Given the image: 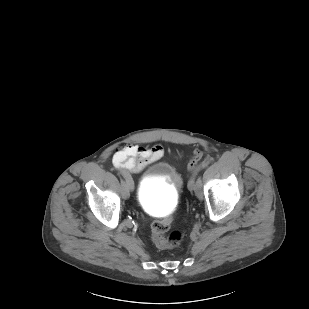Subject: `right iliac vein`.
Segmentation results:
<instances>
[{
  "label": "right iliac vein",
  "instance_id": "63e3f726",
  "mask_svg": "<svg viewBox=\"0 0 309 309\" xmlns=\"http://www.w3.org/2000/svg\"><path fill=\"white\" fill-rule=\"evenodd\" d=\"M129 181H132V179L130 180L125 179V182H124L125 197H128L129 192L132 191L134 188V187H129Z\"/></svg>",
  "mask_w": 309,
  "mask_h": 309
}]
</instances>
